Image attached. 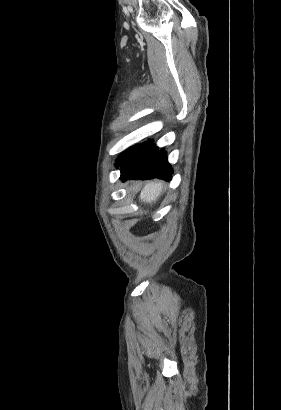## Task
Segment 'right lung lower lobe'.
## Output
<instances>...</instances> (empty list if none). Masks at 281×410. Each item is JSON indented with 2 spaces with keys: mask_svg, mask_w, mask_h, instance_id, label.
<instances>
[{
  "mask_svg": "<svg viewBox=\"0 0 281 410\" xmlns=\"http://www.w3.org/2000/svg\"><path fill=\"white\" fill-rule=\"evenodd\" d=\"M121 180L159 178L171 180L172 168L167 160V152L151 142L136 146L121 164Z\"/></svg>",
  "mask_w": 281,
  "mask_h": 410,
  "instance_id": "right-lung-lower-lobe-1",
  "label": "right lung lower lobe"
}]
</instances>
